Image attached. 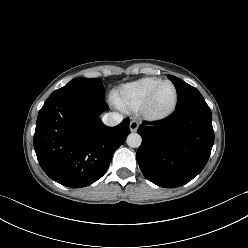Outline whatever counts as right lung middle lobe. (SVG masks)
<instances>
[{
	"instance_id": "right-lung-middle-lobe-1",
	"label": "right lung middle lobe",
	"mask_w": 248,
	"mask_h": 248,
	"mask_svg": "<svg viewBox=\"0 0 248 248\" xmlns=\"http://www.w3.org/2000/svg\"><path fill=\"white\" fill-rule=\"evenodd\" d=\"M62 93H86L94 96L104 97L105 89L101 79L76 78L64 87L54 91L50 96Z\"/></svg>"
}]
</instances>
